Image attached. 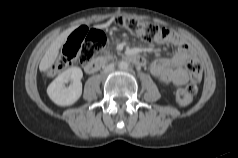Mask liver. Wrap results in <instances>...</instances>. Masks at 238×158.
<instances>
[{
	"mask_svg": "<svg viewBox=\"0 0 238 158\" xmlns=\"http://www.w3.org/2000/svg\"><path fill=\"white\" fill-rule=\"evenodd\" d=\"M111 21L102 24L99 26V28H106L110 26ZM75 29L69 28L62 32L48 47L47 51L45 52L43 58L41 59L39 69L40 71H46L48 70L55 62V60L58 57L59 49L63 45V43L66 41V38L69 36V34Z\"/></svg>",
	"mask_w": 238,
	"mask_h": 158,
	"instance_id": "1",
	"label": "liver"
}]
</instances>
